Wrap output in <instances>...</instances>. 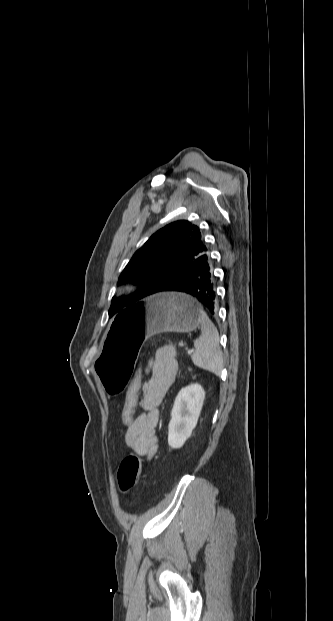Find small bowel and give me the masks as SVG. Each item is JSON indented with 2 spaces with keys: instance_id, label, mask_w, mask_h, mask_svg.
Returning a JSON list of instances; mask_svg holds the SVG:
<instances>
[{
  "instance_id": "small-bowel-1",
  "label": "small bowel",
  "mask_w": 333,
  "mask_h": 621,
  "mask_svg": "<svg viewBox=\"0 0 333 621\" xmlns=\"http://www.w3.org/2000/svg\"><path fill=\"white\" fill-rule=\"evenodd\" d=\"M178 364L170 347L159 348L150 363L147 378L141 386V413L128 424L126 444L141 457L150 460L158 448L156 427L159 406L176 379Z\"/></svg>"
}]
</instances>
